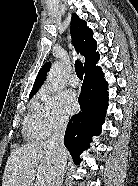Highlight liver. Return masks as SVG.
<instances>
[{
	"label": "liver",
	"instance_id": "obj_1",
	"mask_svg": "<svg viewBox=\"0 0 138 186\" xmlns=\"http://www.w3.org/2000/svg\"><path fill=\"white\" fill-rule=\"evenodd\" d=\"M55 157L54 149L43 141L15 148L8 157L2 186H30L35 178L47 186Z\"/></svg>",
	"mask_w": 138,
	"mask_h": 186
}]
</instances>
